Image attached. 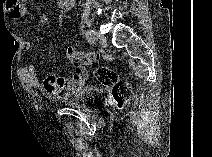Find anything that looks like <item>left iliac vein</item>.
Listing matches in <instances>:
<instances>
[{
    "label": "left iliac vein",
    "instance_id": "left-iliac-vein-1",
    "mask_svg": "<svg viewBox=\"0 0 212 157\" xmlns=\"http://www.w3.org/2000/svg\"><path fill=\"white\" fill-rule=\"evenodd\" d=\"M94 37L96 40H98L102 45H106L107 44V39L104 35H102L101 33L94 31Z\"/></svg>",
    "mask_w": 212,
    "mask_h": 157
}]
</instances>
